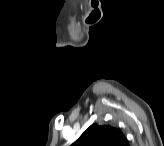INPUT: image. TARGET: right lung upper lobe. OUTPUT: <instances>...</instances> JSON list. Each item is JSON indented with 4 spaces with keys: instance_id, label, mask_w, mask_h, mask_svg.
Returning a JSON list of instances; mask_svg holds the SVG:
<instances>
[{
    "instance_id": "obj_1",
    "label": "right lung upper lobe",
    "mask_w": 164,
    "mask_h": 146,
    "mask_svg": "<svg viewBox=\"0 0 164 146\" xmlns=\"http://www.w3.org/2000/svg\"><path fill=\"white\" fill-rule=\"evenodd\" d=\"M73 146H128L125 136L113 126L93 124L75 141Z\"/></svg>"
}]
</instances>
